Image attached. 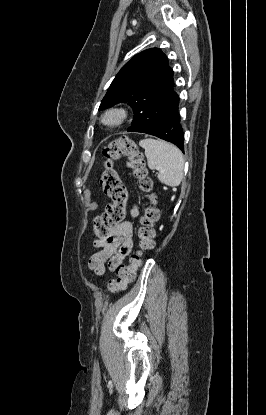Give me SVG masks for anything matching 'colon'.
I'll return each mask as SVG.
<instances>
[{
    "label": "colon",
    "mask_w": 266,
    "mask_h": 415,
    "mask_svg": "<svg viewBox=\"0 0 266 415\" xmlns=\"http://www.w3.org/2000/svg\"><path fill=\"white\" fill-rule=\"evenodd\" d=\"M121 156L127 158V167L135 178L138 188L145 194L149 204L140 217L138 229L139 250L130 258L127 265L117 269V277L108 283L110 292L124 290L135 280L137 270L141 266L143 254L155 244V225L160 218L156 206L155 196L152 193V181L147 176L145 161L137 143L128 137H121L109 142L103 150L105 169L101 175V186L111 203L105 211L96 217L93 224V233L96 237L107 238L114 228L126 219L127 188L113 166L115 160Z\"/></svg>",
    "instance_id": "1"
}]
</instances>
